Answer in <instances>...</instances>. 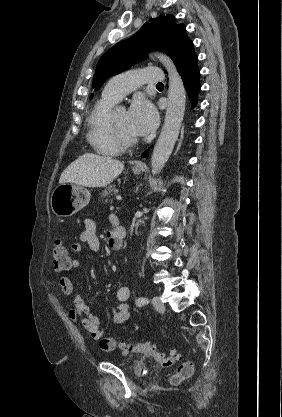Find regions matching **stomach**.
Returning a JSON list of instances; mask_svg holds the SVG:
<instances>
[{
  "mask_svg": "<svg viewBox=\"0 0 282 417\" xmlns=\"http://www.w3.org/2000/svg\"><path fill=\"white\" fill-rule=\"evenodd\" d=\"M142 168L133 166V172L140 174ZM90 190L80 186V184H74V182H62L59 186L54 188L50 204L54 215L58 217H71L78 211L83 209V206H87L90 200Z\"/></svg>",
  "mask_w": 282,
  "mask_h": 417,
  "instance_id": "0dacf381",
  "label": "stomach"
}]
</instances>
